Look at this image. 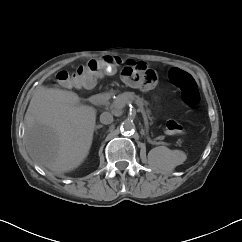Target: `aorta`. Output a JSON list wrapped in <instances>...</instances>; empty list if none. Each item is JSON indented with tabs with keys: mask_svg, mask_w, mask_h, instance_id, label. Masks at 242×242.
Masks as SVG:
<instances>
[{
	"mask_svg": "<svg viewBox=\"0 0 242 242\" xmlns=\"http://www.w3.org/2000/svg\"><path fill=\"white\" fill-rule=\"evenodd\" d=\"M121 130L127 133L133 132L135 130V124L131 120H125L122 123Z\"/></svg>",
	"mask_w": 242,
	"mask_h": 242,
	"instance_id": "aorta-1",
	"label": "aorta"
}]
</instances>
